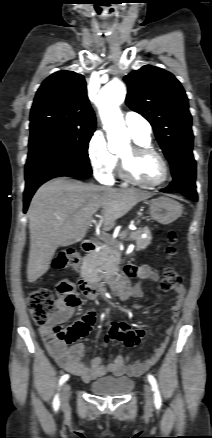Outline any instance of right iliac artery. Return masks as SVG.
I'll use <instances>...</instances> for the list:
<instances>
[{
    "label": "right iliac artery",
    "mask_w": 212,
    "mask_h": 438,
    "mask_svg": "<svg viewBox=\"0 0 212 438\" xmlns=\"http://www.w3.org/2000/svg\"><path fill=\"white\" fill-rule=\"evenodd\" d=\"M68 378H69V375H68V374L63 375V376L60 378L59 385L61 386L65 381L68 380ZM59 405H60L59 395L57 394V395L55 396L54 400H53V407H54V409L57 410V409L59 408Z\"/></svg>",
    "instance_id": "right-iliac-artery-1"
}]
</instances>
